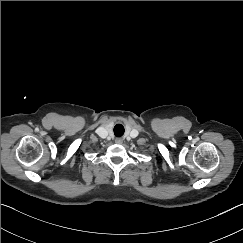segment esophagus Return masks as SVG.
Instances as JSON below:
<instances>
[{"instance_id": "esophagus-1", "label": "esophagus", "mask_w": 243, "mask_h": 243, "mask_svg": "<svg viewBox=\"0 0 243 243\" xmlns=\"http://www.w3.org/2000/svg\"><path fill=\"white\" fill-rule=\"evenodd\" d=\"M115 142L121 144L122 143V139L121 138H117Z\"/></svg>"}]
</instances>
